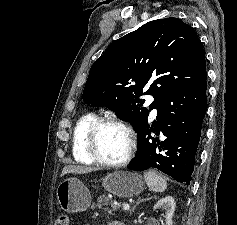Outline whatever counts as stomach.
Masks as SVG:
<instances>
[{"label": "stomach", "instance_id": "obj_1", "mask_svg": "<svg viewBox=\"0 0 237 225\" xmlns=\"http://www.w3.org/2000/svg\"><path fill=\"white\" fill-rule=\"evenodd\" d=\"M103 187L118 197L129 198L142 192L144 181L136 173L115 171L103 178ZM56 195L60 207L70 213L86 210L91 202L88 188L75 177L63 180L57 187Z\"/></svg>", "mask_w": 237, "mask_h": 225}]
</instances>
